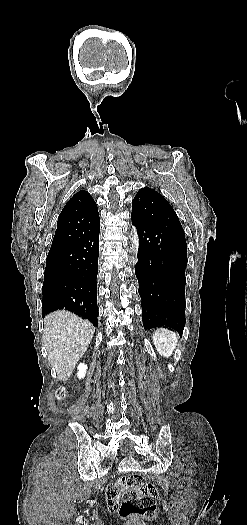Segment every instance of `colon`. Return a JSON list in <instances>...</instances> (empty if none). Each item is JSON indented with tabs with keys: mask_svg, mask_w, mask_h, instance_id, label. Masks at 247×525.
Wrapping results in <instances>:
<instances>
[{
	"mask_svg": "<svg viewBox=\"0 0 247 525\" xmlns=\"http://www.w3.org/2000/svg\"><path fill=\"white\" fill-rule=\"evenodd\" d=\"M56 395L60 400L67 396L64 389H58ZM125 479L126 488L120 489V515L127 519L153 520L157 515V488L146 483L138 473H130Z\"/></svg>",
	"mask_w": 247,
	"mask_h": 525,
	"instance_id": "colon-1",
	"label": "colon"
}]
</instances>
